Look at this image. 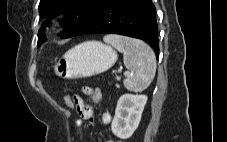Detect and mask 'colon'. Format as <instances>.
I'll return each mask as SVG.
<instances>
[{
    "instance_id": "5ec220e1",
    "label": "colon",
    "mask_w": 227,
    "mask_h": 142,
    "mask_svg": "<svg viewBox=\"0 0 227 142\" xmlns=\"http://www.w3.org/2000/svg\"><path fill=\"white\" fill-rule=\"evenodd\" d=\"M65 104L69 107V108H74V101H73V97L71 95H66L65 98Z\"/></svg>"
}]
</instances>
